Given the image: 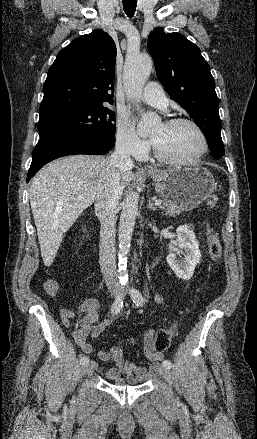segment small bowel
Returning <instances> with one entry per match:
<instances>
[{"label": "small bowel", "mask_w": 257, "mask_h": 439, "mask_svg": "<svg viewBox=\"0 0 257 439\" xmlns=\"http://www.w3.org/2000/svg\"><path fill=\"white\" fill-rule=\"evenodd\" d=\"M158 302L162 298L157 296ZM99 304L95 299H88L84 301L77 311L82 314L76 330L74 331V338L77 345L85 354L93 352L92 345L87 341L88 337L97 338L103 331H105L112 323L111 318L99 319ZM61 318L66 326L70 325L74 318V312L71 310H64L61 313ZM156 331L153 329L147 330L143 333L142 343L143 351L146 358L152 362L149 368L139 366L134 362L127 360L124 356L122 348L114 346L108 351H100L99 358L102 361L112 363L114 366L109 368L105 376L110 380L125 379L131 384H142L149 380L158 370L159 362L163 359V354L158 352L154 347V338ZM92 369H98V363L90 361Z\"/></svg>", "instance_id": "1"}]
</instances>
